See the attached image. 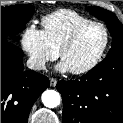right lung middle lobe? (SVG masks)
Here are the masks:
<instances>
[{
    "label": "right lung middle lobe",
    "mask_w": 123,
    "mask_h": 123,
    "mask_svg": "<svg viewBox=\"0 0 123 123\" xmlns=\"http://www.w3.org/2000/svg\"><path fill=\"white\" fill-rule=\"evenodd\" d=\"M33 12L34 7L25 4L1 7V41H16V35L24 29Z\"/></svg>",
    "instance_id": "right-lung-middle-lobe-1"
}]
</instances>
